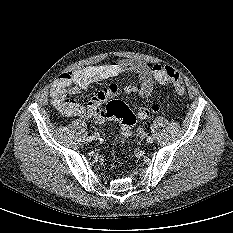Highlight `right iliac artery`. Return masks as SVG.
I'll list each match as a JSON object with an SVG mask.
<instances>
[{
  "instance_id": "obj_1",
  "label": "right iliac artery",
  "mask_w": 233,
  "mask_h": 233,
  "mask_svg": "<svg viewBox=\"0 0 233 233\" xmlns=\"http://www.w3.org/2000/svg\"><path fill=\"white\" fill-rule=\"evenodd\" d=\"M88 142H91L92 140H93V136H89V137H87V139H86Z\"/></svg>"
}]
</instances>
